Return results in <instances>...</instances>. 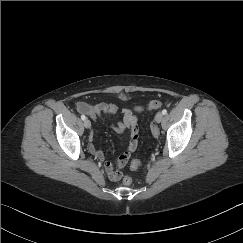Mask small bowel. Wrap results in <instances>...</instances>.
Masks as SVG:
<instances>
[{
	"mask_svg": "<svg viewBox=\"0 0 243 243\" xmlns=\"http://www.w3.org/2000/svg\"><path fill=\"white\" fill-rule=\"evenodd\" d=\"M79 112L87 114L92 118L99 117L102 115H111L118 111L117 105L113 103L102 102L96 105H89L86 102H79L76 105ZM143 107L137 106L135 108L136 113L142 112ZM123 119L122 121L115 122L111 125L112 130H114L119 135H124L129 133L130 141L127 149L123 152L121 157L117 161L105 160L104 153L97 149L94 145V135L89 136V153L96 159L104 162V169L108 178L112 181L119 180V171L124 167L131 156V154L136 150L138 146V121L136 114L130 109H123Z\"/></svg>",
	"mask_w": 243,
	"mask_h": 243,
	"instance_id": "small-bowel-1",
	"label": "small bowel"
}]
</instances>
